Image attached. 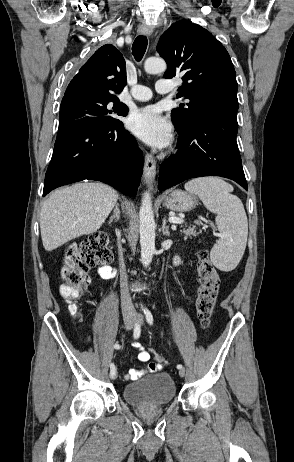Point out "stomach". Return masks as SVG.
<instances>
[{"mask_svg": "<svg viewBox=\"0 0 294 462\" xmlns=\"http://www.w3.org/2000/svg\"><path fill=\"white\" fill-rule=\"evenodd\" d=\"M198 201L193 195H189L181 190L173 191L164 201V206L170 210L187 212L195 208Z\"/></svg>", "mask_w": 294, "mask_h": 462, "instance_id": "stomach-1", "label": "stomach"}]
</instances>
